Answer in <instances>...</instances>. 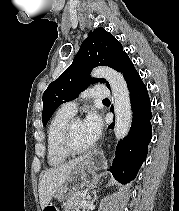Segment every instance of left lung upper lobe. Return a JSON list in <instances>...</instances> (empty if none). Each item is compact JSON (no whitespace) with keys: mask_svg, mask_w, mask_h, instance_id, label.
Wrapping results in <instances>:
<instances>
[{"mask_svg":"<svg viewBox=\"0 0 179 211\" xmlns=\"http://www.w3.org/2000/svg\"><path fill=\"white\" fill-rule=\"evenodd\" d=\"M127 56L122 44L103 28L89 32L73 59L72 64L50 83L43 94L42 119L45 126L53 112L62 104L78 97L89 84L105 83V79L90 78L89 72L96 66L107 65L118 70ZM106 85L109 87L108 82Z\"/></svg>","mask_w":179,"mask_h":211,"instance_id":"5c2ea615","label":"left lung upper lobe"}]
</instances>
